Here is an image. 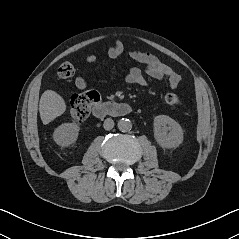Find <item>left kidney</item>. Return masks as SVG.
<instances>
[{
    "label": "left kidney",
    "instance_id": "1",
    "mask_svg": "<svg viewBox=\"0 0 239 239\" xmlns=\"http://www.w3.org/2000/svg\"><path fill=\"white\" fill-rule=\"evenodd\" d=\"M183 129L178 122L167 115L154 118V138L162 147L173 149L183 142Z\"/></svg>",
    "mask_w": 239,
    "mask_h": 239
}]
</instances>
